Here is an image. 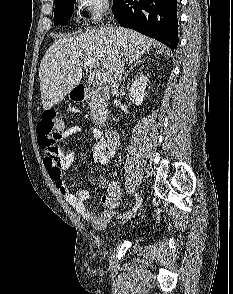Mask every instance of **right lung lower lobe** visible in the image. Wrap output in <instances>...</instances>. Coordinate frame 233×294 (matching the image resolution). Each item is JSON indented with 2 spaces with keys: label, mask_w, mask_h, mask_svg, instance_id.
Listing matches in <instances>:
<instances>
[{
  "label": "right lung lower lobe",
  "mask_w": 233,
  "mask_h": 294,
  "mask_svg": "<svg viewBox=\"0 0 233 294\" xmlns=\"http://www.w3.org/2000/svg\"><path fill=\"white\" fill-rule=\"evenodd\" d=\"M112 12L121 26L176 49L179 41L177 0H115Z\"/></svg>",
  "instance_id": "1"
}]
</instances>
